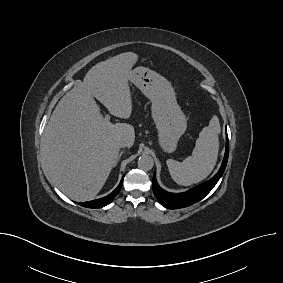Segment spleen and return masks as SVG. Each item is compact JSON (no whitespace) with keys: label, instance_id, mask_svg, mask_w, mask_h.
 Wrapping results in <instances>:
<instances>
[{"label":"spleen","instance_id":"3e777b00","mask_svg":"<svg viewBox=\"0 0 283 283\" xmlns=\"http://www.w3.org/2000/svg\"><path fill=\"white\" fill-rule=\"evenodd\" d=\"M221 127L217 116L204 127L196 140L192 155L183 162L166 161L172 179L179 185L190 186L204 180L214 169L219 151Z\"/></svg>","mask_w":283,"mask_h":283}]
</instances>
